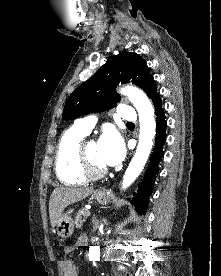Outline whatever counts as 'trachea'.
<instances>
[{"mask_svg":"<svg viewBox=\"0 0 221 276\" xmlns=\"http://www.w3.org/2000/svg\"><path fill=\"white\" fill-rule=\"evenodd\" d=\"M127 124H128V125H132L133 123H131V122H127Z\"/></svg>","mask_w":221,"mask_h":276,"instance_id":"obj_1","label":"trachea"}]
</instances>
